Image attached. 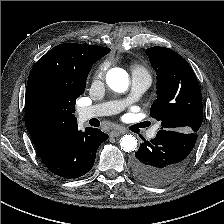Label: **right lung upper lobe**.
Segmentation results:
<instances>
[{
  "label": "right lung upper lobe",
  "mask_w": 224,
  "mask_h": 224,
  "mask_svg": "<svg viewBox=\"0 0 224 224\" xmlns=\"http://www.w3.org/2000/svg\"><path fill=\"white\" fill-rule=\"evenodd\" d=\"M109 52L110 48L106 47L64 43L51 49L35 63L29 74L25 99L26 125L34 145L39 144L63 126L77 123V118L69 108L64 109L62 114L55 118H37L27 106V94L30 87L44 78L56 79L79 87L83 78L88 76L92 65Z\"/></svg>",
  "instance_id": "1"
}]
</instances>
